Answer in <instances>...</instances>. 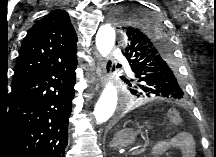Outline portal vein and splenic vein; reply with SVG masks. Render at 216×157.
<instances>
[{
    "label": "portal vein and splenic vein",
    "instance_id": "obj_1",
    "mask_svg": "<svg viewBox=\"0 0 216 157\" xmlns=\"http://www.w3.org/2000/svg\"><path fill=\"white\" fill-rule=\"evenodd\" d=\"M130 151H133V153L134 152H143L144 148H142V146H137V147L131 149Z\"/></svg>",
    "mask_w": 216,
    "mask_h": 157
}]
</instances>
